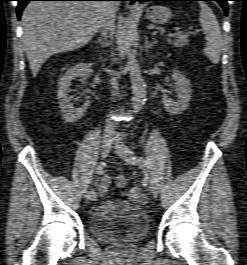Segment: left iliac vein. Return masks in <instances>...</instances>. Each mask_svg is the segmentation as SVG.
<instances>
[{
	"mask_svg": "<svg viewBox=\"0 0 247 265\" xmlns=\"http://www.w3.org/2000/svg\"><path fill=\"white\" fill-rule=\"evenodd\" d=\"M116 152L120 158H122L127 164L143 168V165L138 159L134 156V153L131 149L125 146H119L116 148ZM150 189L154 197L158 196V189L153 181H150Z\"/></svg>",
	"mask_w": 247,
	"mask_h": 265,
	"instance_id": "4c4485c4",
	"label": "left iliac vein"
}]
</instances>
